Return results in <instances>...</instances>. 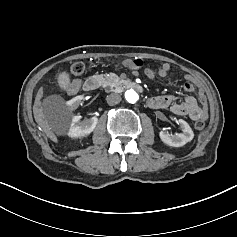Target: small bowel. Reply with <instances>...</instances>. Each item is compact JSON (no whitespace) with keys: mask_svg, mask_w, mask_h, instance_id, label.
Returning <instances> with one entry per match:
<instances>
[{"mask_svg":"<svg viewBox=\"0 0 237 237\" xmlns=\"http://www.w3.org/2000/svg\"><path fill=\"white\" fill-rule=\"evenodd\" d=\"M125 67L136 69L132 66V60H126L123 62ZM170 65L163 63L157 71L160 77H166L169 73ZM186 83L183 85V91L186 94L182 101H178V98L173 95H160L150 98L147 101V105L153 109H169L172 113L180 116H189L192 120H205L208 117V104L206 96L202 91L199 94L198 100L191 95L194 91V77L187 73L185 75ZM79 80H73L70 82L65 91L74 95L79 91Z\"/></svg>","mask_w":237,"mask_h":237,"instance_id":"c3829d8e","label":"small bowel"}]
</instances>
